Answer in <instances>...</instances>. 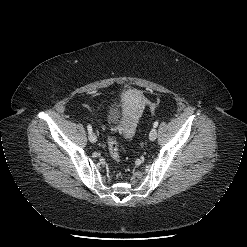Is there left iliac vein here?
I'll list each match as a JSON object with an SVG mask.
<instances>
[{"mask_svg":"<svg viewBox=\"0 0 247 247\" xmlns=\"http://www.w3.org/2000/svg\"><path fill=\"white\" fill-rule=\"evenodd\" d=\"M157 138V129L154 127L151 129L150 133H149V139L151 141H154Z\"/></svg>","mask_w":247,"mask_h":247,"instance_id":"1","label":"left iliac vein"}]
</instances>
